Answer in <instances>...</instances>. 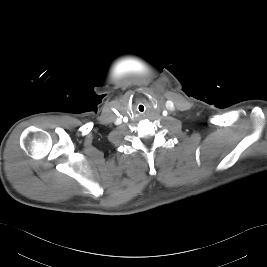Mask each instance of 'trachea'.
<instances>
[{
    "label": "trachea",
    "instance_id": "trachea-1",
    "mask_svg": "<svg viewBox=\"0 0 267 267\" xmlns=\"http://www.w3.org/2000/svg\"><path fill=\"white\" fill-rule=\"evenodd\" d=\"M138 110H139L140 113H144L145 112V108H144L143 105H139L138 106Z\"/></svg>",
    "mask_w": 267,
    "mask_h": 267
}]
</instances>
